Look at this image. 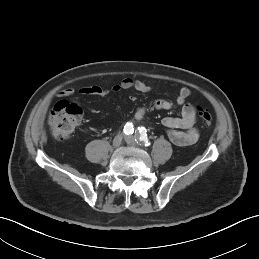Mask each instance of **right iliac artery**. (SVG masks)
Segmentation results:
<instances>
[{
    "label": "right iliac artery",
    "instance_id": "obj_1",
    "mask_svg": "<svg viewBox=\"0 0 259 259\" xmlns=\"http://www.w3.org/2000/svg\"><path fill=\"white\" fill-rule=\"evenodd\" d=\"M124 134L129 135V134H133L134 132V128H133V124L128 122L123 129Z\"/></svg>",
    "mask_w": 259,
    "mask_h": 259
}]
</instances>
